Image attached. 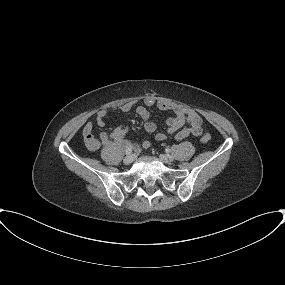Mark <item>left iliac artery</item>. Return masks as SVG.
<instances>
[{"mask_svg":"<svg viewBox=\"0 0 285 285\" xmlns=\"http://www.w3.org/2000/svg\"><path fill=\"white\" fill-rule=\"evenodd\" d=\"M165 151H166L167 153H169V152H170V149H169V148H166Z\"/></svg>","mask_w":285,"mask_h":285,"instance_id":"obj_1","label":"left iliac artery"}]
</instances>
